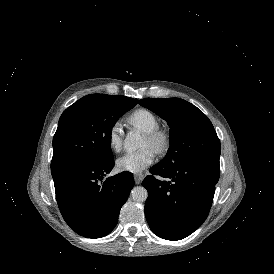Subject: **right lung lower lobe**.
Returning <instances> with one entry per match:
<instances>
[{
    "label": "right lung lower lobe",
    "mask_w": 274,
    "mask_h": 274,
    "mask_svg": "<svg viewBox=\"0 0 274 274\" xmlns=\"http://www.w3.org/2000/svg\"><path fill=\"white\" fill-rule=\"evenodd\" d=\"M113 166L114 159L100 165L74 163L51 170L60 212L79 235L100 238L118 222L134 179L132 173L122 172L104 180Z\"/></svg>",
    "instance_id": "obj_1"
}]
</instances>
